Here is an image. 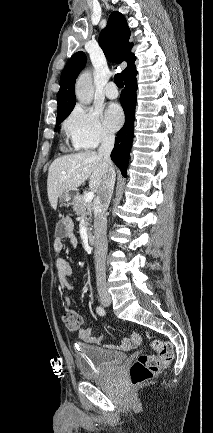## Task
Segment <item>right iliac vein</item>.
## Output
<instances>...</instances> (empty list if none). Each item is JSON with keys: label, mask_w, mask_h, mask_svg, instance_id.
I'll use <instances>...</instances> for the list:
<instances>
[{"label": "right iliac vein", "mask_w": 213, "mask_h": 433, "mask_svg": "<svg viewBox=\"0 0 213 433\" xmlns=\"http://www.w3.org/2000/svg\"><path fill=\"white\" fill-rule=\"evenodd\" d=\"M100 301L103 305L107 306L111 303V297L108 294H100Z\"/></svg>", "instance_id": "right-iliac-vein-1"}]
</instances>
